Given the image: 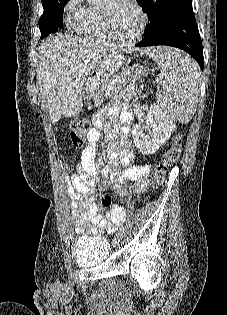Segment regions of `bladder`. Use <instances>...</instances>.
<instances>
[{
	"label": "bladder",
	"instance_id": "31cf9c89",
	"mask_svg": "<svg viewBox=\"0 0 227 315\" xmlns=\"http://www.w3.org/2000/svg\"><path fill=\"white\" fill-rule=\"evenodd\" d=\"M110 254L108 240L99 236H86L79 239L73 257L83 267H95L105 262Z\"/></svg>",
	"mask_w": 227,
	"mask_h": 315
}]
</instances>
